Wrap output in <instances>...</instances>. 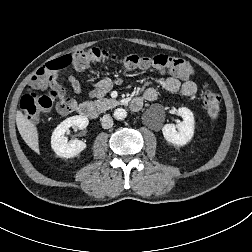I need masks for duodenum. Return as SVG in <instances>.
<instances>
[{"label": "duodenum", "instance_id": "duodenum-1", "mask_svg": "<svg viewBox=\"0 0 252 252\" xmlns=\"http://www.w3.org/2000/svg\"><path fill=\"white\" fill-rule=\"evenodd\" d=\"M142 105H143L142 98H134L129 103V106L133 111L140 110ZM76 110L80 116L90 119L96 118L99 113L97 105L93 102H83L77 106Z\"/></svg>", "mask_w": 252, "mask_h": 252}]
</instances>
